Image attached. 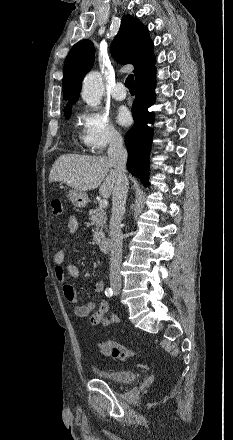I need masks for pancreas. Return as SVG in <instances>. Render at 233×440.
Segmentation results:
<instances>
[{
	"mask_svg": "<svg viewBox=\"0 0 233 440\" xmlns=\"http://www.w3.org/2000/svg\"><path fill=\"white\" fill-rule=\"evenodd\" d=\"M89 219L91 220V224L95 226V231L93 234V240L97 243H100L105 239L104 229L106 226V212L104 208H96L91 209L89 211Z\"/></svg>",
	"mask_w": 233,
	"mask_h": 440,
	"instance_id": "obj_1",
	"label": "pancreas"
}]
</instances>
